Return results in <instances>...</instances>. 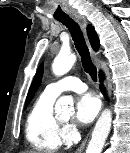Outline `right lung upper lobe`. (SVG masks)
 I'll return each instance as SVG.
<instances>
[{"mask_svg":"<svg viewBox=\"0 0 130 153\" xmlns=\"http://www.w3.org/2000/svg\"><path fill=\"white\" fill-rule=\"evenodd\" d=\"M87 34L90 40V43L92 45V48L94 50H97L99 48V38L94 30V27L92 25L87 26ZM43 76V64H41L38 68V71L33 79V82L31 84V87L29 89L26 102H30L33 98L35 92L37 91L38 87L40 86L41 80Z\"/></svg>","mask_w":130,"mask_h":153,"instance_id":"1","label":"right lung upper lobe"}]
</instances>
